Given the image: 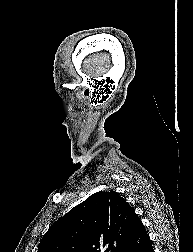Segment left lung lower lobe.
Returning <instances> with one entry per match:
<instances>
[{"mask_svg": "<svg viewBox=\"0 0 193 252\" xmlns=\"http://www.w3.org/2000/svg\"><path fill=\"white\" fill-rule=\"evenodd\" d=\"M124 252H154L150 238L142 222L135 228Z\"/></svg>", "mask_w": 193, "mask_h": 252, "instance_id": "0a47b994", "label": "left lung lower lobe"}]
</instances>
